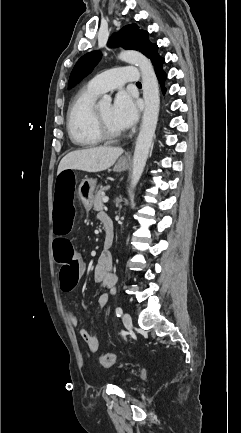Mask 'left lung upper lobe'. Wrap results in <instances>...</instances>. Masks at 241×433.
Wrapping results in <instances>:
<instances>
[{
	"mask_svg": "<svg viewBox=\"0 0 241 433\" xmlns=\"http://www.w3.org/2000/svg\"><path fill=\"white\" fill-rule=\"evenodd\" d=\"M108 45L111 47L123 46L142 52L151 59L155 72L163 71L164 58L158 54V46L148 39V32L140 30L136 24L124 26L118 33L111 36ZM101 58L99 51H93L82 56L76 63L69 79L68 86L72 87L83 77L88 75Z\"/></svg>",
	"mask_w": 241,
	"mask_h": 433,
	"instance_id": "left-lung-upper-lobe-1",
	"label": "left lung upper lobe"
}]
</instances>
